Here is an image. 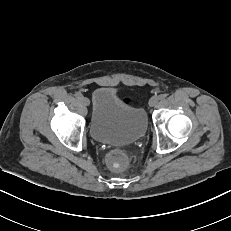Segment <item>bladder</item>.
Wrapping results in <instances>:
<instances>
[{"mask_svg":"<svg viewBox=\"0 0 231 231\" xmlns=\"http://www.w3.org/2000/svg\"><path fill=\"white\" fill-rule=\"evenodd\" d=\"M148 126L145 110L117 96L110 87L93 93L90 133L101 143L126 144L141 139Z\"/></svg>","mask_w":231,"mask_h":231,"instance_id":"31cf9c89","label":"bladder"}]
</instances>
